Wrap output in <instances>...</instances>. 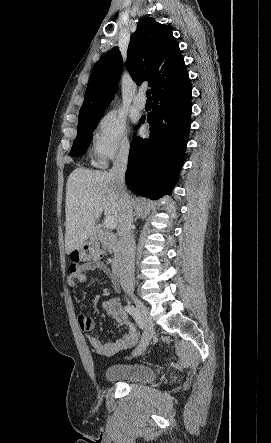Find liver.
<instances>
[{"label": "liver", "instance_id": "liver-1", "mask_svg": "<svg viewBox=\"0 0 271 443\" xmlns=\"http://www.w3.org/2000/svg\"><path fill=\"white\" fill-rule=\"evenodd\" d=\"M102 212L119 223L120 192L116 184L108 172L76 168L66 184L65 253H71L88 239Z\"/></svg>", "mask_w": 271, "mask_h": 443}]
</instances>
